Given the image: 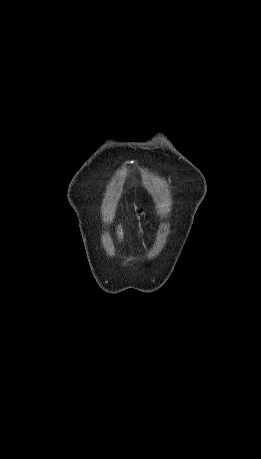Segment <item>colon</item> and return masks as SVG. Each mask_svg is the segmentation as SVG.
Wrapping results in <instances>:
<instances>
[{"mask_svg": "<svg viewBox=\"0 0 261 459\" xmlns=\"http://www.w3.org/2000/svg\"><path fill=\"white\" fill-rule=\"evenodd\" d=\"M141 224L145 227H148L151 224V221L148 218H145L141 221ZM138 231L139 228L136 225L131 224L130 227L124 228L123 233L125 236H132L133 234H136ZM142 235L144 237H148L150 235V232L148 230H144L142 232Z\"/></svg>", "mask_w": 261, "mask_h": 459, "instance_id": "5ec220e1", "label": "colon"}]
</instances>
